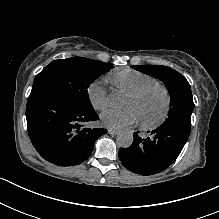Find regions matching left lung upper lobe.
I'll return each instance as SVG.
<instances>
[{
    "label": "left lung upper lobe",
    "mask_w": 219,
    "mask_h": 219,
    "mask_svg": "<svg viewBox=\"0 0 219 219\" xmlns=\"http://www.w3.org/2000/svg\"><path fill=\"white\" fill-rule=\"evenodd\" d=\"M133 69L160 79L170 94L169 116L164 122L184 123L191 126V114L194 109L192 92L186 78L176 70L160 65H134Z\"/></svg>",
    "instance_id": "5c2ea615"
}]
</instances>
